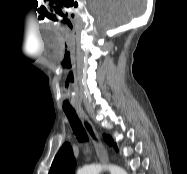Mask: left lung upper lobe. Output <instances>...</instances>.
I'll return each mask as SVG.
<instances>
[{"mask_svg": "<svg viewBox=\"0 0 187 174\" xmlns=\"http://www.w3.org/2000/svg\"><path fill=\"white\" fill-rule=\"evenodd\" d=\"M104 138L111 146L113 145L111 137L105 136ZM114 147L116 148V151H118L116 145H114ZM75 165L76 162L71 145L65 143L55 156L49 174H74Z\"/></svg>", "mask_w": 187, "mask_h": 174, "instance_id": "obj_1", "label": "left lung upper lobe"}]
</instances>
